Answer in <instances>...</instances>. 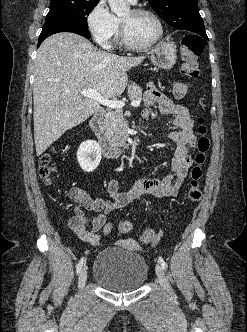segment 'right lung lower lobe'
I'll use <instances>...</instances> for the list:
<instances>
[{"label": "right lung lower lobe", "instance_id": "1", "mask_svg": "<svg viewBox=\"0 0 247 332\" xmlns=\"http://www.w3.org/2000/svg\"><path fill=\"white\" fill-rule=\"evenodd\" d=\"M59 32H73L86 38H90L88 27H84L77 23L69 21H51L44 24L42 32L38 39V46L48 36Z\"/></svg>", "mask_w": 247, "mask_h": 332}]
</instances>
